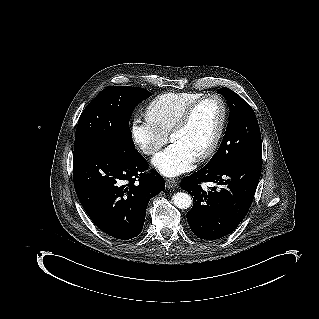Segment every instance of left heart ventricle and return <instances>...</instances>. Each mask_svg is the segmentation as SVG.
Wrapping results in <instances>:
<instances>
[{
	"mask_svg": "<svg viewBox=\"0 0 319 319\" xmlns=\"http://www.w3.org/2000/svg\"><path fill=\"white\" fill-rule=\"evenodd\" d=\"M218 120V106L213 101L200 105L179 131L176 140L185 144L193 153L202 150L212 138Z\"/></svg>",
	"mask_w": 319,
	"mask_h": 319,
	"instance_id": "1",
	"label": "left heart ventricle"
}]
</instances>
